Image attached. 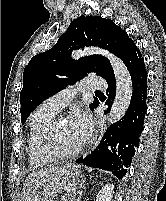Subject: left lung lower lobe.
I'll use <instances>...</instances> for the list:
<instances>
[{"mask_svg": "<svg viewBox=\"0 0 166 201\" xmlns=\"http://www.w3.org/2000/svg\"><path fill=\"white\" fill-rule=\"evenodd\" d=\"M123 61L133 83L132 98L127 112L121 120L107 129L99 145L89 156L76 160V163L111 171L119 179L127 173L135 149L139 146L147 111V71L143 56L135 43L131 45ZM106 81L108 97L105 104L111 106L116 88L114 75L106 78ZM107 112L109 109L105 111Z\"/></svg>", "mask_w": 166, "mask_h": 201, "instance_id": "0a47b994", "label": "left lung lower lobe"}]
</instances>
